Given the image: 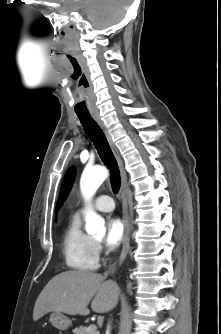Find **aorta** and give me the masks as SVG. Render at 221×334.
Masks as SVG:
<instances>
[{"instance_id":"obj_1","label":"aorta","mask_w":221,"mask_h":334,"mask_svg":"<svg viewBox=\"0 0 221 334\" xmlns=\"http://www.w3.org/2000/svg\"><path fill=\"white\" fill-rule=\"evenodd\" d=\"M108 171L98 166L85 169L80 180V189L86 201H89L100 185L106 180ZM85 229L88 234L104 236L106 227L104 219L91 209L86 211Z\"/></svg>"}]
</instances>
